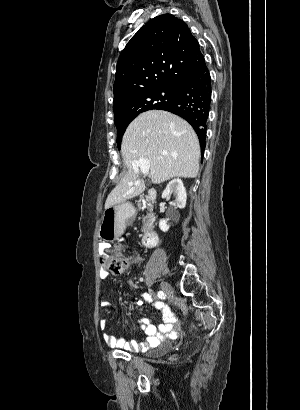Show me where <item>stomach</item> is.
<instances>
[{"mask_svg":"<svg viewBox=\"0 0 300 410\" xmlns=\"http://www.w3.org/2000/svg\"><path fill=\"white\" fill-rule=\"evenodd\" d=\"M134 215V208L130 203H120L105 209L99 237L104 241H112L119 238Z\"/></svg>","mask_w":300,"mask_h":410,"instance_id":"stomach-1","label":"stomach"}]
</instances>
